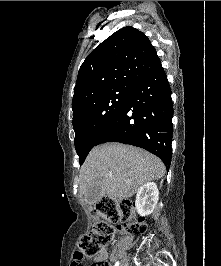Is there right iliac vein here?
<instances>
[{"label": "right iliac vein", "mask_w": 221, "mask_h": 266, "mask_svg": "<svg viewBox=\"0 0 221 266\" xmlns=\"http://www.w3.org/2000/svg\"><path fill=\"white\" fill-rule=\"evenodd\" d=\"M120 266H128L127 258H126V257H124V258L122 259Z\"/></svg>", "instance_id": "right-iliac-vein-1"}]
</instances>
